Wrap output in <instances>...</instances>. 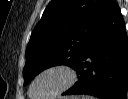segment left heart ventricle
I'll list each match as a JSON object with an SVG mask.
<instances>
[{"mask_svg":"<svg viewBox=\"0 0 128 99\" xmlns=\"http://www.w3.org/2000/svg\"><path fill=\"white\" fill-rule=\"evenodd\" d=\"M67 80L64 72L53 71L42 75L34 84L32 94L35 97H43L52 94Z\"/></svg>","mask_w":128,"mask_h":99,"instance_id":"left-heart-ventricle-1","label":"left heart ventricle"}]
</instances>
